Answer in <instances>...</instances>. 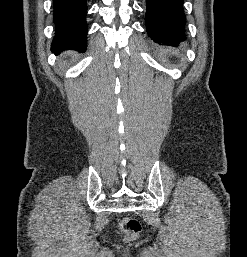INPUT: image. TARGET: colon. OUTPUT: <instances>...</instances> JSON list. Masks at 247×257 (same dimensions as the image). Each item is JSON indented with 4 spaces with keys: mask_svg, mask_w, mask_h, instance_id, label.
<instances>
[{
    "mask_svg": "<svg viewBox=\"0 0 247 257\" xmlns=\"http://www.w3.org/2000/svg\"><path fill=\"white\" fill-rule=\"evenodd\" d=\"M121 230L124 234V238L127 241H132L138 238L141 233V223L133 217H125L121 221Z\"/></svg>",
    "mask_w": 247,
    "mask_h": 257,
    "instance_id": "1",
    "label": "colon"
}]
</instances>
